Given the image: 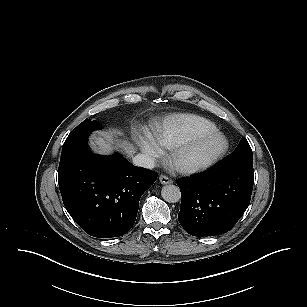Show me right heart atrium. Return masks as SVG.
Wrapping results in <instances>:
<instances>
[{
  "label": "right heart atrium",
  "instance_id": "right-heart-atrium-1",
  "mask_svg": "<svg viewBox=\"0 0 307 307\" xmlns=\"http://www.w3.org/2000/svg\"><path fill=\"white\" fill-rule=\"evenodd\" d=\"M137 142L142 152L149 159L153 160L161 154L160 146L149 137H138Z\"/></svg>",
  "mask_w": 307,
  "mask_h": 307
}]
</instances>
